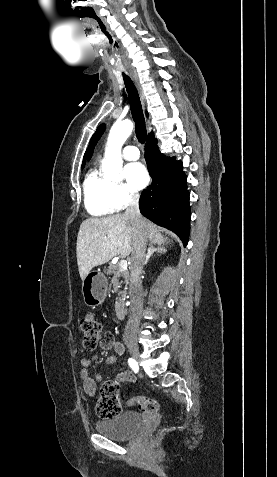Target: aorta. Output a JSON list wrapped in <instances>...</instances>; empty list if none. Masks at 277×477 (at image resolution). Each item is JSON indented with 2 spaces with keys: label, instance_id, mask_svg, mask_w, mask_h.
Masks as SVG:
<instances>
[{
  "label": "aorta",
  "instance_id": "obj_1",
  "mask_svg": "<svg viewBox=\"0 0 277 477\" xmlns=\"http://www.w3.org/2000/svg\"><path fill=\"white\" fill-rule=\"evenodd\" d=\"M133 130L130 120L117 121L113 124L105 148V160L102 165L104 177L108 180L120 181L122 177L121 148Z\"/></svg>",
  "mask_w": 277,
  "mask_h": 477
}]
</instances>
